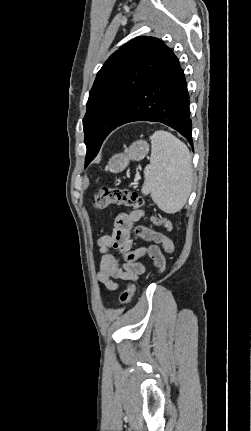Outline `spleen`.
I'll return each instance as SVG.
<instances>
[{"instance_id":"3e777b00","label":"spleen","mask_w":251,"mask_h":431,"mask_svg":"<svg viewBox=\"0 0 251 431\" xmlns=\"http://www.w3.org/2000/svg\"><path fill=\"white\" fill-rule=\"evenodd\" d=\"M150 164L144 169L142 193L166 213L180 211L193 183L192 158L187 146L167 131H156L151 138Z\"/></svg>"}]
</instances>
